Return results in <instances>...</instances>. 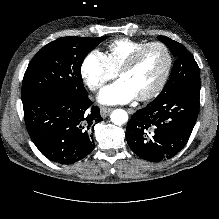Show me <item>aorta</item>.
Here are the masks:
<instances>
[{
  "label": "aorta",
  "mask_w": 219,
  "mask_h": 219,
  "mask_svg": "<svg viewBox=\"0 0 219 219\" xmlns=\"http://www.w3.org/2000/svg\"><path fill=\"white\" fill-rule=\"evenodd\" d=\"M110 118L113 124L121 126L128 121V114L123 109H115L111 113Z\"/></svg>",
  "instance_id": "aorta-1"
}]
</instances>
